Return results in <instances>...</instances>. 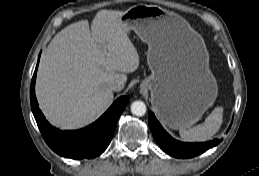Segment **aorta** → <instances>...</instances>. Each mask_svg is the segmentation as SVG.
I'll list each match as a JSON object with an SVG mask.
<instances>
[{"mask_svg": "<svg viewBox=\"0 0 259 176\" xmlns=\"http://www.w3.org/2000/svg\"><path fill=\"white\" fill-rule=\"evenodd\" d=\"M146 105L143 101H134L131 104V112L136 116H143L146 113Z\"/></svg>", "mask_w": 259, "mask_h": 176, "instance_id": "aorta-1", "label": "aorta"}]
</instances>
